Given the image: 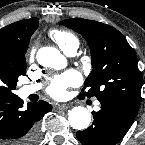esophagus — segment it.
Masks as SVG:
<instances>
[{"label":"esophagus","mask_w":145,"mask_h":145,"mask_svg":"<svg viewBox=\"0 0 145 145\" xmlns=\"http://www.w3.org/2000/svg\"><path fill=\"white\" fill-rule=\"evenodd\" d=\"M56 107H57V109H59V110H67V109L70 108V105L67 104V103H64V104H58Z\"/></svg>","instance_id":"obj_1"}]
</instances>
